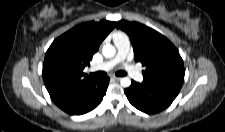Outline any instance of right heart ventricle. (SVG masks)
Wrapping results in <instances>:
<instances>
[{"mask_svg":"<svg viewBox=\"0 0 225 132\" xmlns=\"http://www.w3.org/2000/svg\"><path fill=\"white\" fill-rule=\"evenodd\" d=\"M123 36H125L124 33H122V32H116V33H114L113 38L115 40V39H118V38L123 37Z\"/></svg>","mask_w":225,"mask_h":132,"instance_id":"right-heart-ventricle-1","label":"right heart ventricle"}]
</instances>
